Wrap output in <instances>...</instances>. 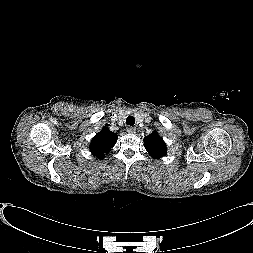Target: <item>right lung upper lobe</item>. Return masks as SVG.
Returning a JSON list of instances; mask_svg holds the SVG:
<instances>
[{
    "label": "right lung upper lobe",
    "instance_id": "cb5924a9",
    "mask_svg": "<svg viewBox=\"0 0 253 253\" xmlns=\"http://www.w3.org/2000/svg\"><path fill=\"white\" fill-rule=\"evenodd\" d=\"M118 136L107 127L96 134L90 144L91 153L98 159H103L110 149L115 145Z\"/></svg>",
    "mask_w": 253,
    "mask_h": 253
}]
</instances>
